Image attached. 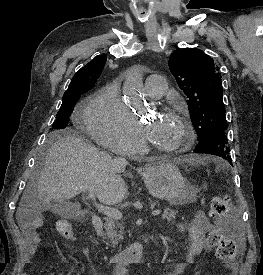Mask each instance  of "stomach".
<instances>
[{
  "instance_id": "stomach-1",
  "label": "stomach",
  "mask_w": 263,
  "mask_h": 275,
  "mask_svg": "<svg viewBox=\"0 0 263 275\" xmlns=\"http://www.w3.org/2000/svg\"><path fill=\"white\" fill-rule=\"evenodd\" d=\"M144 182L152 196L183 205L196 199L197 190L192 189L175 163H160L147 167L143 172Z\"/></svg>"
}]
</instances>
